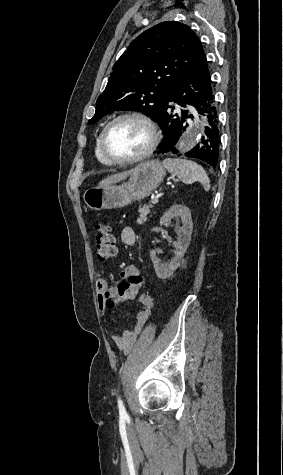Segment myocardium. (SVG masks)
Wrapping results in <instances>:
<instances>
[{"mask_svg":"<svg viewBox=\"0 0 283 475\" xmlns=\"http://www.w3.org/2000/svg\"><path fill=\"white\" fill-rule=\"evenodd\" d=\"M128 118H133L140 120L144 122L150 129L151 132V138L149 141L148 146L145 148L143 152H141L138 155L128 157V158H113L107 155L105 146H104V141H105V136L109 129L112 127L113 124H115L117 121L122 120V119H128ZM159 141V129L155 121L147 114L141 113V112H126L122 113L116 117H114L111 121H109L103 130L101 131L99 135V150L101 156L105 159L107 162H133V164H137L139 162H142L143 160L147 159L156 149L157 144Z\"/></svg>","mask_w":283,"mask_h":475,"instance_id":"obj_1","label":"myocardium"}]
</instances>
